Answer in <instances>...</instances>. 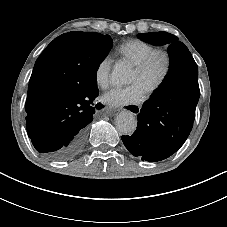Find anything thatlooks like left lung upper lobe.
I'll list each match as a JSON object with an SVG mask.
<instances>
[{"instance_id": "1", "label": "left lung upper lobe", "mask_w": 227, "mask_h": 227, "mask_svg": "<svg viewBox=\"0 0 227 227\" xmlns=\"http://www.w3.org/2000/svg\"><path fill=\"white\" fill-rule=\"evenodd\" d=\"M138 38L142 41L153 44V45H167L168 53L170 56V64L173 60L172 56L180 49H188L178 38L167 32H154V33H144L138 34Z\"/></svg>"}]
</instances>
